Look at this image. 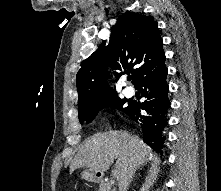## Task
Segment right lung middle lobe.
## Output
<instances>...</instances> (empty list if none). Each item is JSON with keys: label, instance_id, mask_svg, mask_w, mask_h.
Instances as JSON below:
<instances>
[{"label": "right lung middle lobe", "instance_id": "right-lung-middle-lobe-1", "mask_svg": "<svg viewBox=\"0 0 221 191\" xmlns=\"http://www.w3.org/2000/svg\"><path fill=\"white\" fill-rule=\"evenodd\" d=\"M127 103L128 102L126 99H120L118 96L109 98L97 104L93 108L84 111L82 113H79L80 123L83 124L84 122H91L97 115L98 111L104 107H113L116 109H122L125 113H127L130 108V103H128V106H126Z\"/></svg>", "mask_w": 221, "mask_h": 191}]
</instances>
